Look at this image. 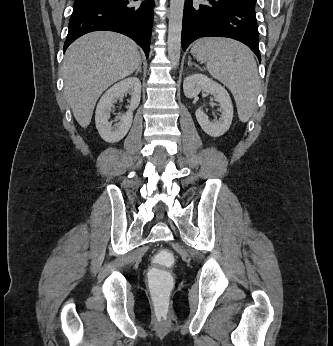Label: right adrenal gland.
I'll return each instance as SVG.
<instances>
[{
	"mask_svg": "<svg viewBox=\"0 0 333 346\" xmlns=\"http://www.w3.org/2000/svg\"><path fill=\"white\" fill-rule=\"evenodd\" d=\"M139 72H142V62H140L136 72H135V75H137Z\"/></svg>",
	"mask_w": 333,
	"mask_h": 346,
	"instance_id": "1",
	"label": "right adrenal gland"
}]
</instances>
